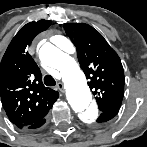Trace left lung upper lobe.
<instances>
[{"instance_id":"5c2ea615","label":"left lung upper lobe","mask_w":147,"mask_h":147,"mask_svg":"<svg viewBox=\"0 0 147 147\" xmlns=\"http://www.w3.org/2000/svg\"><path fill=\"white\" fill-rule=\"evenodd\" d=\"M77 49V57L101 112L119 110L124 95V71L117 53L92 26L64 25Z\"/></svg>"}]
</instances>
